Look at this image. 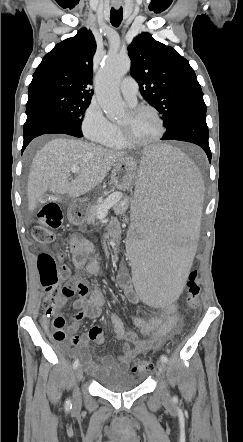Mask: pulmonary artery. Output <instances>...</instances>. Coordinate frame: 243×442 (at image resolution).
<instances>
[{
  "label": "pulmonary artery",
  "mask_w": 243,
  "mask_h": 442,
  "mask_svg": "<svg viewBox=\"0 0 243 442\" xmlns=\"http://www.w3.org/2000/svg\"><path fill=\"white\" fill-rule=\"evenodd\" d=\"M121 92L124 98L131 104L135 105L137 102L136 96L138 93V84L132 77H126L121 82Z\"/></svg>",
  "instance_id": "1"
}]
</instances>
